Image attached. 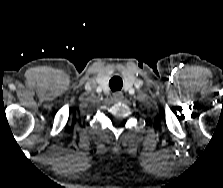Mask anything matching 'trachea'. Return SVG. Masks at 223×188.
<instances>
[{
  "mask_svg": "<svg viewBox=\"0 0 223 188\" xmlns=\"http://www.w3.org/2000/svg\"><path fill=\"white\" fill-rule=\"evenodd\" d=\"M109 86L113 92L120 91L123 86L122 79L120 77H113L109 81Z\"/></svg>",
  "mask_w": 223,
  "mask_h": 188,
  "instance_id": "trachea-1",
  "label": "trachea"
}]
</instances>
